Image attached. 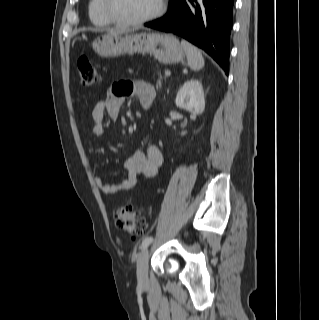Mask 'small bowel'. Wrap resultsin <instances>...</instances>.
<instances>
[{
	"label": "small bowel",
	"instance_id": "1",
	"mask_svg": "<svg viewBox=\"0 0 319 320\" xmlns=\"http://www.w3.org/2000/svg\"><path fill=\"white\" fill-rule=\"evenodd\" d=\"M156 96L155 88L148 83L141 81L119 80L113 83L108 89L105 99L98 101L92 110L93 137L104 135L103 119L107 115L111 120L116 121L120 115V108L128 97H136L140 107L144 111L150 110ZM162 154L158 147L150 145L146 151H135L124 162L127 176L118 184L106 182L101 176L95 178L96 185L106 195L118 192H125L134 188L139 178H153L162 165Z\"/></svg>",
	"mask_w": 319,
	"mask_h": 320
}]
</instances>
